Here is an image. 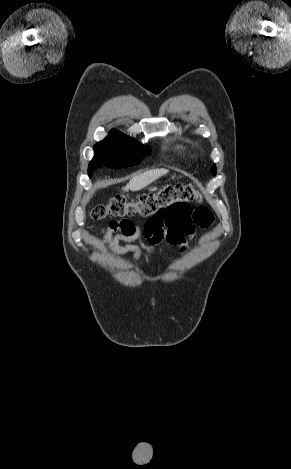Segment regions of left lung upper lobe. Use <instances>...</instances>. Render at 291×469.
I'll use <instances>...</instances> for the list:
<instances>
[{"label": "left lung upper lobe", "instance_id": "1", "mask_svg": "<svg viewBox=\"0 0 291 469\" xmlns=\"http://www.w3.org/2000/svg\"><path fill=\"white\" fill-rule=\"evenodd\" d=\"M212 173H213V175L216 174V167L215 166L212 168Z\"/></svg>", "mask_w": 291, "mask_h": 469}]
</instances>
